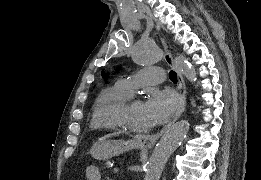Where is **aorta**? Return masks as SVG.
I'll return each mask as SVG.
<instances>
[{
  "instance_id": "1",
  "label": "aorta",
  "mask_w": 261,
  "mask_h": 180,
  "mask_svg": "<svg viewBox=\"0 0 261 180\" xmlns=\"http://www.w3.org/2000/svg\"><path fill=\"white\" fill-rule=\"evenodd\" d=\"M162 57V50L151 43H138L132 51L133 61L142 66L154 64L160 61ZM175 64L189 81L193 82L196 80L195 69L184 57H176ZM188 131L189 123L186 120L179 121L167 129L147 162L144 180L160 179L168 159L181 145Z\"/></svg>"
}]
</instances>
